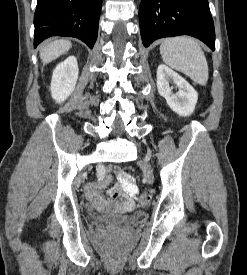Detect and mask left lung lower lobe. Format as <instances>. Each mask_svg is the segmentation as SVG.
<instances>
[{
	"instance_id": "left-lung-lower-lobe-1",
	"label": "left lung lower lobe",
	"mask_w": 247,
	"mask_h": 275,
	"mask_svg": "<svg viewBox=\"0 0 247 275\" xmlns=\"http://www.w3.org/2000/svg\"><path fill=\"white\" fill-rule=\"evenodd\" d=\"M139 22L145 47L159 38L190 35L211 50L215 49L214 23L208 0H143Z\"/></svg>"
}]
</instances>
